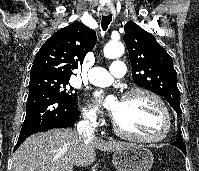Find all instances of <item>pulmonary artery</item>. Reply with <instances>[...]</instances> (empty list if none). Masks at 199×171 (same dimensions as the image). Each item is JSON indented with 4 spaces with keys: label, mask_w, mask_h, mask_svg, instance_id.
<instances>
[{
    "label": "pulmonary artery",
    "mask_w": 199,
    "mask_h": 171,
    "mask_svg": "<svg viewBox=\"0 0 199 171\" xmlns=\"http://www.w3.org/2000/svg\"><path fill=\"white\" fill-rule=\"evenodd\" d=\"M125 74V64L121 60L111 63L109 71L101 67H93L89 70V81L96 86H108L114 78H119Z\"/></svg>",
    "instance_id": "1"
}]
</instances>
